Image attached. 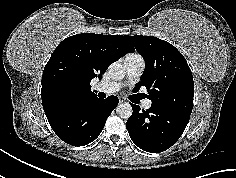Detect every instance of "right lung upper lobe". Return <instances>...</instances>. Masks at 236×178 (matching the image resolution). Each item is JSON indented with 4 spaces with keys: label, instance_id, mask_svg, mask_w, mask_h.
<instances>
[{
    "label": "right lung upper lobe",
    "instance_id": "cb5924a9",
    "mask_svg": "<svg viewBox=\"0 0 236 178\" xmlns=\"http://www.w3.org/2000/svg\"><path fill=\"white\" fill-rule=\"evenodd\" d=\"M135 51L127 36L82 33L64 39L54 50L42 75V104L48 115L96 96L93 78L108 65Z\"/></svg>",
    "mask_w": 236,
    "mask_h": 178
}]
</instances>
